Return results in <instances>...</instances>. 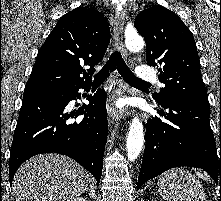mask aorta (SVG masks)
Masks as SVG:
<instances>
[{
	"label": "aorta",
	"mask_w": 221,
	"mask_h": 201,
	"mask_svg": "<svg viewBox=\"0 0 221 201\" xmlns=\"http://www.w3.org/2000/svg\"><path fill=\"white\" fill-rule=\"evenodd\" d=\"M126 46L130 51L138 52L144 46L143 38L138 35L134 34L132 36L126 37ZM144 144V129L143 124L136 116L132 119L128 136L126 142V151H127V158L129 161H134L139 156L142 147Z\"/></svg>",
	"instance_id": "aorta-1"
}]
</instances>
